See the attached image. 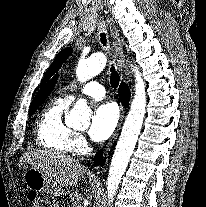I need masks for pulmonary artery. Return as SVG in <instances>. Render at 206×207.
<instances>
[{
  "label": "pulmonary artery",
  "instance_id": "obj_1",
  "mask_svg": "<svg viewBox=\"0 0 206 207\" xmlns=\"http://www.w3.org/2000/svg\"><path fill=\"white\" fill-rule=\"evenodd\" d=\"M105 88L96 81L87 82L79 91L78 95L89 96L94 99H101L105 96ZM76 98L75 95H69L68 100L74 101Z\"/></svg>",
  "mask_w": 206,
  "mask_h": 207
}]
</instances>
